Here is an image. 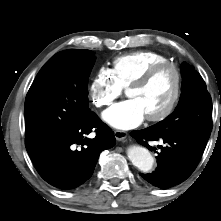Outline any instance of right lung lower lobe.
<instances>
[{
  "label": "right lung lower lobe",
  "instance_id": "98d812e1",
  "mask_svg": "<svg viewBox=\"0 0 221 221\" xmlns=\"http://www.w3.org/2000/svg\"><path fill=\"white\" fill-rule=\"evenodd\" d=\"M94 129L95 138H86ZM115 142L114 133L91 112L71 134L28 138L25 146L40 176L56 188L69 190L91 177L100 152Z\"/></svg>",
  "mask_w": 221,
  "mask_h": 221
}]
</instances>
